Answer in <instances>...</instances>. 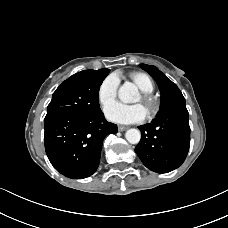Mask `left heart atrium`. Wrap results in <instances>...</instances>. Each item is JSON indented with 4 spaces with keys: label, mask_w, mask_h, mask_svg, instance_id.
<instances>
[{
    "label": "left heart atrium",
    "mask_w": 228,
    "mask_h": 228,
    "mask_svg": "<svg viewBox=\"0 0 228 228\" xmlns=\"http://www.w3.org/2000/svg\"><path fill=\"white\" fill-rule=\"evenodd\" d=\"M106 118L118 124H133L142 122L147 116V110L142 104L127 105L114 102L105 108Z\"/></svg>",
    "instance_id": "left-heart-atrium-1"
}]
</instances>
